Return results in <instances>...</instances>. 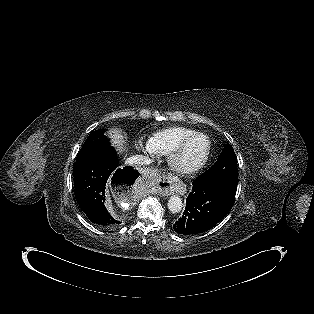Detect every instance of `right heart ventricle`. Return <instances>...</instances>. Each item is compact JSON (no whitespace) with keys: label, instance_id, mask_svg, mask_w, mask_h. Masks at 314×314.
Instances as JSON below:
<instances>
[{"label":"right heart ventricle","instance_id":"right-heart-ventricle-1","mask_svg":"<svg viewBox=\"0 0 314 314\" xmlns=\"http://www.w3.org/2000/svg\"><path fill=\"white\" fill-rule=\"evenodd\" d=\"M197 131L185 127H172L150 135L147 146L150 153L158 156L170 155L182 141Z\"/></svg>","mask_w":314,"mask_h":314}]
</instances>
